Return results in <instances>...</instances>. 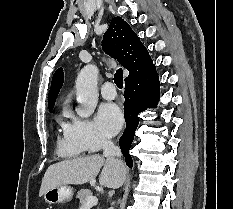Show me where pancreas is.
I'll return each instance as SVG.
<instances>
[{
    "mask_svg": "<svg viewBox=\"0 0 233 209\" xmlns=\"http://www.w3.org/2000/svg\"><path fill=\"white\" fill-rule=\"evenodd\" d=\"M92 196V193L88 189L79 190L76 198L80 200V204L83 205L88 197Z\"/></svg>",
    "mask_w": 233,
    "mask_h": 209,
    "instance_id": "cf45deb5",
    "label": "pancreas"
}]
</instances>
